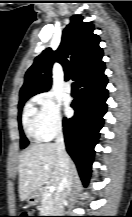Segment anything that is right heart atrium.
Segmentation results:
<instances>
[{
    "mask_svg": "<svg viewBox=\"0 0 132 217\" xmlns=\"http://www.w3.org/2000/svg\"><path fill=\"white\" fill-rule=\"evenodd\" d=\"M33 101L38 106V131L40 138L48 140L57 135L63 124L60 104L49 92L36 95Z\"/></svg>",
    "mask_w": 132,
    "mask_h": 217,
    "instance_id": "1",
    "label": "right heart atrium"
}]
</instances>
